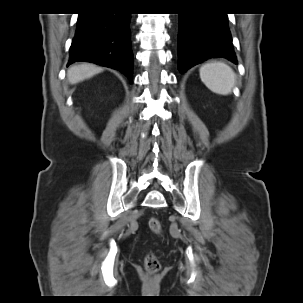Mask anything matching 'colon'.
Masks as SVG:
<instances>
[{
  "label": "colon",
  "instance_id": "5ec220e1",
  "mask_svg": "<svg viewBox=\"0 0 303 303\" xmlns=\"http://www.w3.org/2000/svg\"><path fill=\"white\" fill-rule=\"evenodd\" d=\"M150 229L157 234L162 233V226L158 219L151 218L149 221ZM144 265L150 274H155L160 269V263L156 253L149 251L144 257Z\"/></svg>",
  "mask_w": 303,
  "mask_h": 303
}]
</instances>
